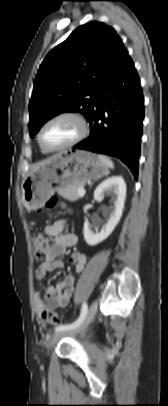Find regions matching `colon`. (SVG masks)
Listing matches in <instances>:
<instances>
[{
	"mask_svg": "<svg viewBox=\"0 0 168 406\" xmlns=\"http://www.w3.org/2000/svg\"><path fill=\"white\" fill-rule=\"evenodd\" d=\"M57 203V198H51L45 207V211L52 209ZM33 247H34V257L37 261H45L49 258V255L53 249V242L50 238L42 235L36 234L33 237ZM42 318L52 325L59 326L63 322V317L57 312L46 309L42 313Z\"/></svg>",
	"mask_w": 168,
	"mask_h": 406,
	"instance_id": "1",
	"label": "colon"
}]
</instances>
